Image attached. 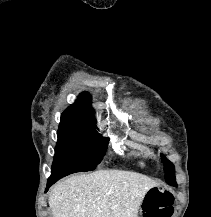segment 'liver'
Instances as JSON below:
<instances>
[{
    "label": "liver",
    "mask_w": 211,
    "mask_h": 217,
    "mask_svg": "<svg viewBox=\"0 0 211 217\" xmlns=\"http://www.w3.org/2000/svg\"><path fill=\"white\" fill-rule=\"evenodd\" d=\"M155 186L143 174L100 170L58 183L49 206L53 217H138L146 193Z\"/></svg>",
    "instance_id": "6515ba94"
}]
</instances>
